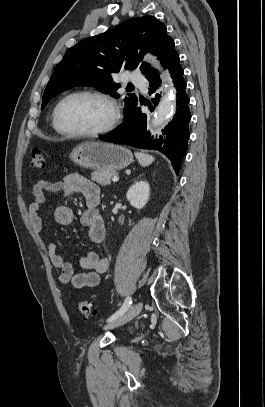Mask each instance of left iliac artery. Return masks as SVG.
Wrapping results in <instances>:
<instances>
[{
  "mask_svg": "<svg viewBox=\"0 0 265 407\" xmlns=\"http://www.w3.org/2000/svg\"><path fill=\"white\" fill-rule=\"evenodd\" d=\"M131 304H132V298L129 296L125 299L121 308L117 312H115L113 315H111L107 321L111 322V321L117 319L118 317H120L121 315H123L129 309Z\"/></svg>",
  "mask_w": 265,
  "mask_h": 407,
  "instance_id": "left-iliac-artery-1",
  "label": "left iliac artery"
}]
</instances>
